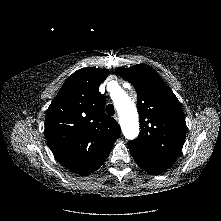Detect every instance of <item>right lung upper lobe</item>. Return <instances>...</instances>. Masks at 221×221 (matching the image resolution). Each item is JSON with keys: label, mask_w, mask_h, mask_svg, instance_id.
Here are the masks:
<instances>
[{"label": "right lung upper lobe", "mask_w": 221, "mask_h": 221, "mask_svg": "<svg viewBox=\"0 0 221 221\" xmlns=\"http://www.w3.org/2000/svg\"><path fill=\"white\" fill-rule=\"evenodd\" d=\"M108 70L88 67L67 78L47 109L45 136L56 159L74 173L96 167L108 157L121 131L104 112L98 87Z\"/></svg>", "instance_id": "obj_1"}]
</instances>
